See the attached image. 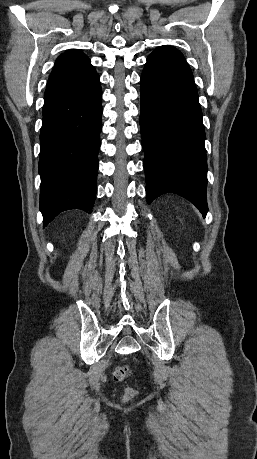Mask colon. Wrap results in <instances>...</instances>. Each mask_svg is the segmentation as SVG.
Instances as JSON below:
<instances>
[{
	"instance_id": "obj_1",
	"label": "colon",
	"mask_w": 257,
	"mask_h": 459,
	"mask_svg": "<svg viewBox=\"0 0 257 459\" xmlns=\"http://www.w3.org/2000/svg\"><path fill=\"white\" fill-rule=\"evenodd\" d=\"M128 375V372L125 368L123 367H116L113 371V377L116 381H121L124 380ZM136 390L128 386L125 388L124 393H123V399L125 401L131 400L136 396Z\"/></svg>"
}]
</instances>
